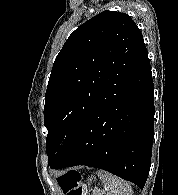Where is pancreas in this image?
Here are the masks:
<instances>
[{
    "label": "pancreas",
    "instance_id": "pancreas-1",
    "mask_svg": "<svg viewBox=\"0 0 178 195\" xmlns=\"http://www.w3.org/2000/svg\"><path fill=\"white\" fill-rule=\"evenodd\" d=\"M95 195H102L101 193H96Z\"/></svg>",
    "mask_w": 178,
    "mask_h": 195
}]
</instances>
